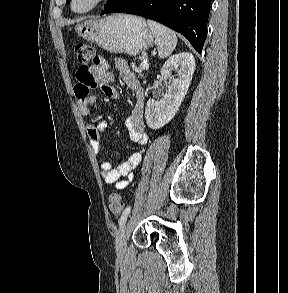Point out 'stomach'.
Here are the masks:
<instances>
[{
  "label": "stomach",
  "mask_w": 288,
  "mask_h": 293,
  "mask_svg": "<svg viewBox=\"0 0 288 293\" xmlns=\"http://www.w3.org/2000/svg\"><path fill=\"white\" fill-rule=\"evenodd\" d=\"M75 29L80 37L109 52L132 56L147 50L154 38L143 18L126 14L87 20L76 25Z\"/></svg>",
  "instance_id": "obj_1"
}]
</instances>
